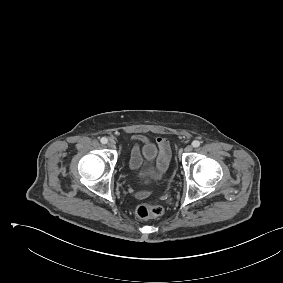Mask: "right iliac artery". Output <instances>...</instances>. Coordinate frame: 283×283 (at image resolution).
Segmentation results:
<instances>
[{"label": "right iliac artery", "instance_id": "1", "mask_svg": "<svg viewBox=\"0 0 283 283\" xmlns=\"http://www.w3.org/2000/svg\"><path fill=\"white\" fill-rule=\"evenodd\" d=\"M100 141L102 144H106L108 142V139L106 137H102Z\"/></svg>", "mask_w": 283, "mask_h": 283}]
</instances>
